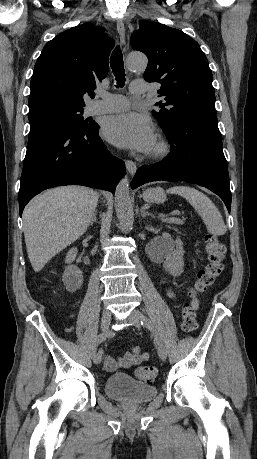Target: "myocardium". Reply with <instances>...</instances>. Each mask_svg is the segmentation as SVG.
<instances>
[{"instance_id": "1", "label": "myocardium", "mask_w": 257, "mask_h": 459, "mask_svg": "<svg viewBox=\"0 0 257 459\" xmlns=\"http://www.w3.org/2000/svg\"><path fill=\"white\" fill-rule=\"evenodd\" d=\"M169 153H170L169 143L163 137L159 136L149 156L152 159L159 160V159L165 158Z\"/></svg>"}]
</instances>
